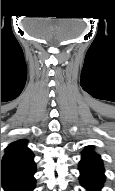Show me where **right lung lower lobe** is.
<instances>
[{"instance_id": "obj_1", "label": "right lung lower lobe", "mask_w": 115, "mask_h": 191, "mask_svg": "<svg viewBox=\"0 0 115 191\" xmlns=\"http://www.w3.org/2000/svg\"><path fill=\"white\" fill-rule=\"evenodd\" d=\"M34 170L14 174H2L1 182L5 191H33L35 188Z\"/></svg>"}]
</instances>
